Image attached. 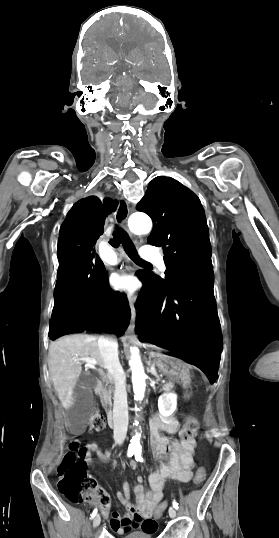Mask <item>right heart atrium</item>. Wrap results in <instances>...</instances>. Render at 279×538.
Here are the masks:
<instances>
[{"mask_svg": "<svg viewBox=\"0 0 279 538\" xmlns=\"http://www.w3.org/2000/svg\"><path fill=\"white\" fill-rule=\"evenodd\" d=\"M134 232L137 234V235H143L145 232L144 231H137V230H134Z\"/></svg>", "mask_w": 279, "mask_h": 538, "instance_id": "d8ad5b80", "label": "right heart atrium"}]
</instances>
